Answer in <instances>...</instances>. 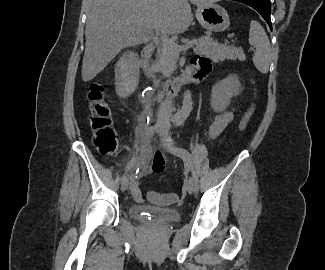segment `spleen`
Wrapping results in <instances>:
<instances>
[{"mask_svg": "<svg viewBox=\"0 0 325 270\" xmlns=\"http://www.w3.org/2000/svg\"><path fill=\"white\" fill-rule=\"evenodd\" d=\"M249 43L255 48L253 55L255 67L266 74L271 62L270 42L264 28L255 20L250 22Z\"/></svg>", "mask_w": 325, "mask_h": 270, "instance_id": "obj_1", "label": "spleen"}]
</instances>
